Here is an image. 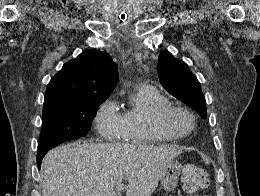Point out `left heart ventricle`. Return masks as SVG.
I'll return each instance as SVG.
<instances>
[{
  "label": "left heart ventricle",
  "mask_w": 260,
  "mask_h": 196,
  "mask_svg": "<svg viewBox=\"0 0 260 196\" xmlns=\"http://www.w3.org/2000/svg\"><path fill=\"white\" fill-rule=\"evenodd\" d=\"M159 110H155L153 113V121L157 118ZM170 123L173 127L179 130H185L190 126L189 120L181 114L175 113L171 116Z\"/></svg>",
  "instance_id": "b2bd125f"
}]
</instances>
